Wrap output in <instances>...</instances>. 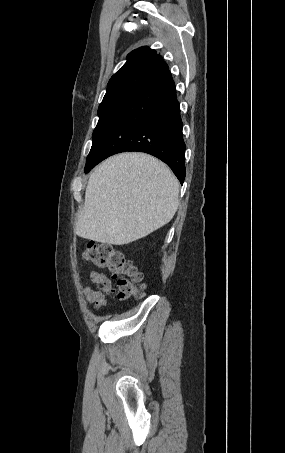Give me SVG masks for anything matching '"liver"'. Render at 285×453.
<instances>
[{"instance_id":"liver-1","label":"liver","mask_w":285,"mask_h":453,"mask_svg":"<svg viewBox=\"0 0 285 453\" xmlns=\"http://www.w3.org/2000/svg\"><path fill=\"white\" fill-rule=\"evenodd\" d=\"M179 183L160 160L122 153L90 175L74 232L100 243L124 245L161 228L178 208Z\"/></svg>"}]
</instances>
